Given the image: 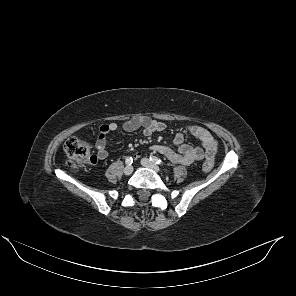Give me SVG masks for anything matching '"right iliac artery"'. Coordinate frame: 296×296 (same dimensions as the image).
Returning <instances> with one entry per match:
<instances>
[{
  "mask_svg": "<svg viewBox=\"0 0 296 296\" xmlns=\"http://www.w3.org/2000/svg\"><path fill=\"white\" fill-rule=\"evenodd\" d=\"M132 162H133L132 157H127L126 160H125V163H126L127 165H131Z\"/></svg>",
  "mask_w": 296,
  "mask_h": 296,
  "instance_id": "obj_1",
  "label": "right iliac artery"
}]
</instances>
